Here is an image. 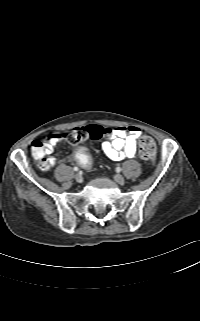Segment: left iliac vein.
<instances>
[{
  "instance_id": "obj_1",
  "label": "left iliac vein",
  "mask_w": 200,
  "mask_h": 321,
  "mask_svg": "<svg viewBox=\"0 0 200 321\" xmlns=\"http://www.w3.org/2000/svg\"><path fill=\"white\" fill-rule=\"evenodd\" d=\"M114 180L119 184H124L125 183L124 177L122 175H120V174L114 175Z\"/></svg>"
}]
</instances>
